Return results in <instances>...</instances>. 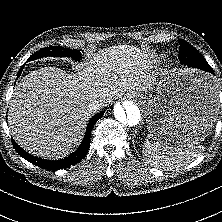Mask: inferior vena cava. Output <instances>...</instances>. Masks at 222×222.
<instances>
[{"mask_svg":"<svg viewBox=\"0 0 222 222\" xmlns=\"http://www.w3.org/2000/svg\"><path fill=\"white\" fill-rule=\"evenodd\" d=\"M105 102L100 99H95L88 104V109L90 112H93L101 107H103Z\"/></svg>","mask_w":222,"mask_h":222,"instance_id":"602c4592","label":"inferior vena cava"}]
</instances>
